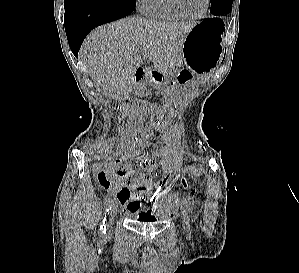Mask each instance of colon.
Listing matches in <instances>:
<instances>
[{
	"label": "colon",
	"mask_w": 299,
	"mask_h": 273,
	"mask_svg": "<svg viewBox=\"0 0 299 273\" xmlns=\"http://www.w3.org/2000/svg\"><path fill=\"white\" fill-rule=\"evenodd\" d=\"M108 171H105L101 168L97 169V177L99 180L106 181L108 179ZM182 186L185 190L190 191L189 182L187 178L182 179Z\"/></svg>",
	"instance_id": "obj_1"
}]
</instances>
